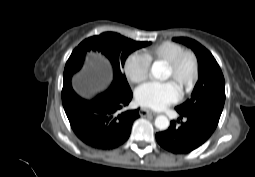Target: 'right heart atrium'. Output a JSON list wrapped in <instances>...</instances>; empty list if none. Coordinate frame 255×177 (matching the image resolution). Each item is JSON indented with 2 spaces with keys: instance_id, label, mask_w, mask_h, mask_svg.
Listing matches in <instances>:
<instances>
[{
  "instance_id": "d8ad5b80",
  "label": "right heart atrium",
  "mask_w": 255,
  "mask_h": 177,
  "mask_svg": "<svg viewBox=\"0 0 255 177\" xmlns=\"http://www.w3.org/2000/svg\"><path fill=\"white\" fill-rule=\"evenodd\" d=\"M123 69L131 83L139 84L147 79L150 62L143 53L134 52L125 59Z\"/></svg>"
}]
</instances>
